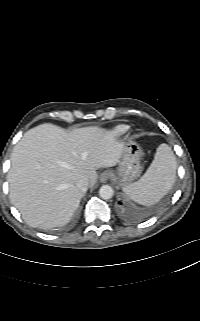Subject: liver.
<instances>
[{
  "label": "liver",
  "instance_id": "obj_1",
  "mask_svg": "<svg viewBox=\"0 0 200 321\" xmlns=\"http://www.w3.org/2000/svg\"><path fill=\"white\" fill-rule=\"evenodd\" d=\"M124 144L106 129L85 127L66 132L45 123L28 130L15 145L8 172L10 200L31 227L63 226L77 210L96 170L119 164Z\"/></svg>",
  "mask_w": 200,
  "mask_h": 321
}]
</instances>
